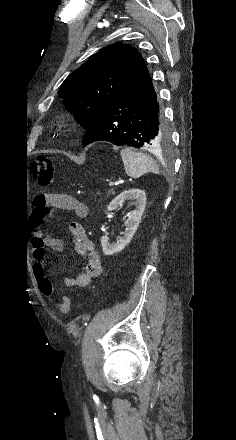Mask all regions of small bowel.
Returning <instances> with one entry per match:
<instances>
[{"label": "small bowel", "mask_w": 236, "mask_h": 440, "mask_svg": "<svg viewBox=\"0 0 236 440\" xmlns=\"http://www.w3.org/2000/svg\"><path fill=\"white\" fill-rule=\"evenodd\" d=\"M35 211V226L32 231V244L36 263L33 266V274L38 285L46 280V261L43 256L45 247L55 251L63 250V242L51 235H44L38 230V222L48 215L49 209L73 211L78 218L88 215L89 209L86 204L76 198L66 194H37L33 199ZM72 243L75 251L87 259L84 270L75 278H64V284L69 287H91L94 279L101 275L103 271L102 257L94 243L88 239L83 225L79 222H72L69 227Z\"/></svg>", "instance_id": "obj_1"}]
</instances>
